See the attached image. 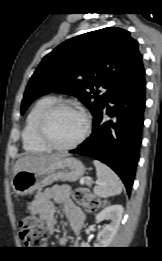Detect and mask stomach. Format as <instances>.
I'll return each instance as SVG.
<instances>
[{
  "mask_svg": "<svg viewBox=\"0 0 162 261\" xmlns=\"http://www.w3.org/2000/svg\"><path fill=\"white\" fill-rule=\"evenodd\" d=\"M85 172V167L77 158L65 155L35 170H21L12 180L16 194H32L56 181L74 182Z\"/></svg>",
  "mask_w": 162,
  "mask_h": 261,
  "instance_id": "0dacf381",
  "label": "stomach"
}]
</instances>
